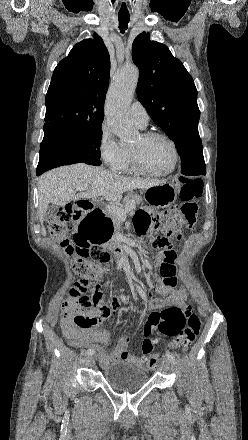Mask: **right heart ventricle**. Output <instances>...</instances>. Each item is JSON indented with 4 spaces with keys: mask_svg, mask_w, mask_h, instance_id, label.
Segmentation results:
<instances>
[{
    "mask_svg": "<svg viewBox=\"0 0 248 440\" xmlns=\"http://www.w3.org/2000/svg\"><path fill=\"white\" fill-rule=\"evenodd\" d=\"M124 150H125V159L123 161V164L118 169V171L122 173H134L136 172V170L134 169L132 163L131 147H124Z\"/></svg>",
    "mask_w": 248,
    "mask_h": 440,
    "instance_id": "obj_1",
    "label": "right heart ventricle"
}]
</instances>
